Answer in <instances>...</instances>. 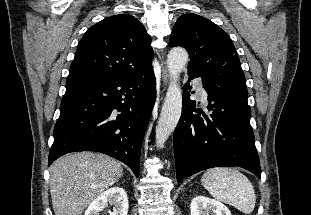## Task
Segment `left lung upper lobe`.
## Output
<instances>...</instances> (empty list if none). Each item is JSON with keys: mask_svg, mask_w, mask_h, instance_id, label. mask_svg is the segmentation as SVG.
Masks as SVG:
<instances>
[{"mask_svg": "<svg viewBox=\"0 0 311 215\" xmlns=\"http://www.w3.org/2000/svg\"><path fill=\"white\" fill-rule=\"evenodd\" d=\"M170 45L184 47L190 55L188 67L197 68L222 89L248 95L245 76L230 37L209 19L196 14L179 17Z\"/></svg>", "mask_w": 311, "mask_h": 215, "instance_id": "5c2ea615", "label": "left lung upper lobe"}]
</instances>
